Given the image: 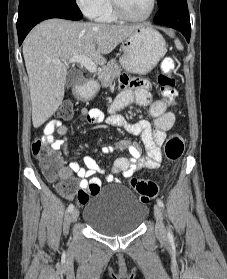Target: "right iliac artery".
Listing matches in <instances>:
<instances>
[{"label": "right iliac artery", "instance_id": "obj_1", "mask_svg": "<svg viewBox=\"0 0 227 279\" xmlns=\"http://www.w3.org/2000/svg\"><path fill=\"white\" fill-rule=\"evenodd\" d=\"M73 209H74V205H73V204H70V205L68 206V212H71Z\"/></svg>", "mask_w": 227, "mask_h": 279}]
</instances>
